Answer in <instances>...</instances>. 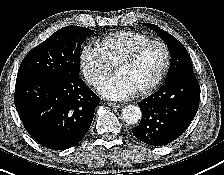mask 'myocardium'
Masks as SVG:
<instances>
[{
  "instance_id": "obj_1",
  "label": "myocardium",
  "mask_w": 224,
  "mask_h": 175,
  "mask_svg": "<svg viewBox=\"0 0 224 175\" xmlns=\"http://www.w3.org/2000/svg\"><path fill=\"white\" fill-rule=\"evenodd\" d=\"M152 45H158L160 46L163 51H164V62L162 65L161 70L159 71L158 75L155 77V79L149 83L148 85L142 87L141 89L137 90L135 93L136 95H144L147 94L151 91H153L163 80L165 77L169 66H170V61H171V53L169 50V47L167 46L166 43L163 41L159 40H149L146 41L139 46H137L135 49H133L130 53L125 55L123 58H121L116 64H115V70H117L118 67L124 66V65H129L133 63L141 54L142 52L147 49L148 47Z\"/></svg>"
}]
</instances>
